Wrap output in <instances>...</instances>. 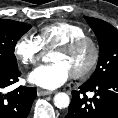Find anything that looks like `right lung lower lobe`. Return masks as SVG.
Masks as SVG:
<instances>
[{"mask_svg": "<svg viewBox=\"0 0 118 118\" xmlns=\"http://www.w3.org/2000/svg\"><path fill=\"white\" fill-rule=\"evenodd\" d=\"M18 69L0 71V118H26L37 96L35 88L20 86L5 94L3 89L19 79Z\"/></svg>", "mask_w": 118, "mask_h": 118, "instance_id": "obj_1", "label": "right lung lower lobe"}]
</instances>
